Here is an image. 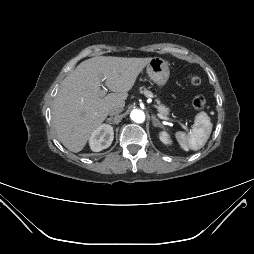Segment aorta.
I'll use <instances>...</instances> for the list:
<instances>
[{"label": "aorta", "instance_id": "1", "mask_svg": "<svg viewBox=\"0 0 254 254\" xmlns=\"http://www.w3.org/2000/svg\"><path fill=\"white\" fill-rule=\"evenodd\" d=\"M130 117L136 123H142L145 120L144 112L138 109L132 110Z\"/></svg>", "mask_w": 254, "mask_h": 254}]
</instances>
